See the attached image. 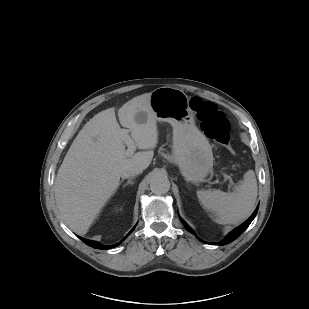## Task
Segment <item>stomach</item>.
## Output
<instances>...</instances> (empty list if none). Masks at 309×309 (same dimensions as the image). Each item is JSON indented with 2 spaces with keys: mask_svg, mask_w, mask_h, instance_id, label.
<instances>
[{
  "mask_svg": "<svg viewBox=\"0 0 309 309\" xmlns=\"http://www.w3.org/2000/svg\"><path fill=\"white\" fill-rule=\"evenodd\" d=\"M189 102L184 91L173 87H159L150 97L156 120L173 127V161L187 181L198 183L212 169L213 154L208 140L195 126Z\"/></svg>",
  "mask_w": 309,
  "mask_h": 309,
  "instance_id": "1",
  "label": "stomach"
}]
</instances>
